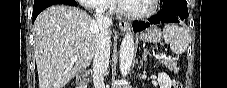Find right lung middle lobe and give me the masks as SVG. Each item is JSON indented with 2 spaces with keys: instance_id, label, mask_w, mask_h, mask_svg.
I'll return each mask as SVG.
<instances>
[{
  "instance_id": "right-lung-middle-lobe-1",
  "label": "right lung middle lobe",
  "mask_w": 227,
  "mask_h": 88,
  "mask_svg": "<svg viewBox=\"0 0 227 88\" xmlns=\"http://www.w3.org/2000/svg\"><path fill=\"white\" fill-rule=\"evenodd\" d=\"M38 0H35L34 2H36ZM64 4H69V5H73V6H77L75 0H63Z\"/></svg>"
}]
</instances>
